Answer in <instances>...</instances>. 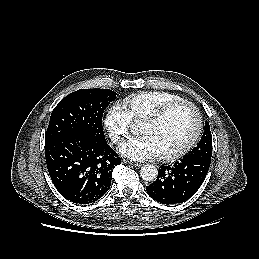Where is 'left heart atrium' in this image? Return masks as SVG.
<instances>
[{
	"label": "left heart atrium",
	"mask_w": 259,
	"mask_h": 259,
	"mask_svg": "<svg viewBox=\"0 0 259 259\" xmlns=\"http://www.w3.org/2000/svg\"><path fill=\"white\" fill-rule=\"evenodd\" d=\"M118 151L132 160H145L158 156V152L146 135H141L122 142L118 146Z\"/></svg>",
	"instance_id": "1"
}]
</instances>
